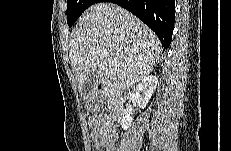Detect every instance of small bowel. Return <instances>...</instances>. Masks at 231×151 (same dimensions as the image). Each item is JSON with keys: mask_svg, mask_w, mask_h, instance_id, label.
Instances as JSON below:
<instances>
[{"mask_svg": "<svg viewBox=\"0 0 231 151\" xmlns=\"http://www.w3.org/2000/svg\"><path fill=\"white\" fill-rule=\"evenodd\" d=\"M111 116L105 114L92 115L88 119L91 138L96 151H113L117 141V132Z\"/></svg>", "mask_w": 231, "mask_h": 151, "instance_id": "small-bowel-1", "label": "small bowel"}]
</instances>
